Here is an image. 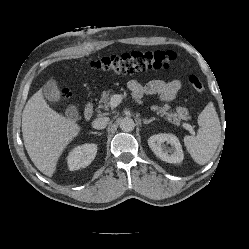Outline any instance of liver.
<instances>
[{
  "instance_id": "liver-1",
  "label": "liver",
  "mask_w": 249,
  "mask_h": 249,
  "mask_svg": "<svg viewBox=\"0 0 249 249\" xmlns=\"http://www.w3.org/2000/svg\"><path fill=\"white\" fill-rule=\"evenodd\" d=\"M80 130L75 121L58 114L46 103L41 89L24 107V145L34 165L46 176L54 174L59 157Z\"/></svg>"
}]
</instances>
